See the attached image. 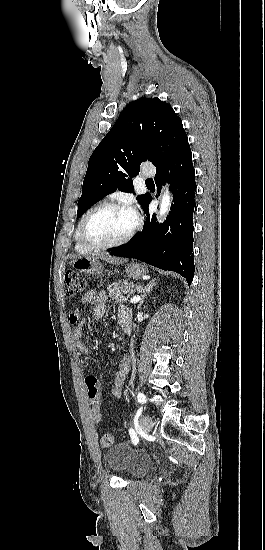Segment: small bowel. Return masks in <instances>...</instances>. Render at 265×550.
<instances>
[{
    "label": "small bowel",
    "instance_id": "c3829d8e",
    "mask_svg": "<svg viewBox=\"0 0 265 550\" xmlns=\"http://www.w3.org/2000/svg\"><path fill=\"white\" fill-rule=\"evenodd\" d=\"M82 300L84 303L93 304V318L96 321L100 320L105 315L107 310V294L104 291L90 290L83 296ZM117 311L118 323L121 329L126 334H130L132 332V313L130 308L125 305H119ZM74 319L77 322L73 333L76 348L84 355L86 359H92L94 356L93 350L82 341L83 326L87 320H78L77 318ZM130 363L131 360L128 356L123 357L120 361L111 389V394L115 398H120L122 396L123 385L130 368ZM100 420L94 421L99 422Z\"/></svg>",
    "mask_w": 265,
    "mask_h": 550
}]
</instances>
